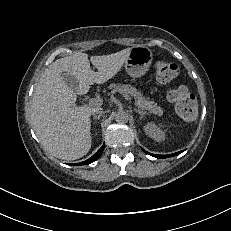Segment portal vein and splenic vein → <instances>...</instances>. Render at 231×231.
<instances>
[{"instance_id": "portal-vein-and-splenic-vein-1", "label": "portal vein and splenic vein", "mask_w": 231, "mask_h": 231, "mask_svg": "<svg viewBox=\"0 0 231 231\" xmlns=\"http://www.w3.org/2000/svg\"><path fill=\"white\" fill-rule=\"evenodd\" d=\"M122 95L126 100L131 101V97L128 94L123 93ZM102 102L103 100L98 97L89 99V104L93 106H99L102 104Z\"/></svg>"}]
</instances>
